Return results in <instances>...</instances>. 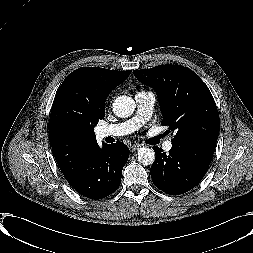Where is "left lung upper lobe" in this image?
Instances as JSON below:
<instances>
[{
  "label": "left lung upper lobe",
  "instance_id": "1",
  "mask_svg": "<svg viewBox=\"0 0 253 253\" xmlns=\"http://www.w3.org/2000/svg\"><path fill=\"white\" fill-rule=\"evenodd\" d=\"M133 74L156 91L164 117L161 124L175 132L172 144L215 148L218 110L210 90L195 72L179 65H159Z\"/></svg>",
  "mask_w": 253,
  "mask_h": 253
}]
</instances>
